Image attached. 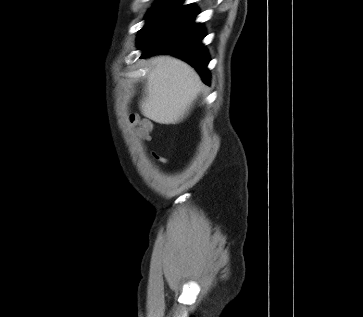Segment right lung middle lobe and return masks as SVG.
<instances>
[{"instance_id": "1", "label": "right lung middle lobe", "mask_w": 363, "mask_h": 317, "mask_svg": "<svg viewBox=\"0 0 363 317\" xmlns=\"http://www.w3.org/2000/svg\"><path fill=\"white\" fill-rule=\"evenodd\" d=\"M184 0H159L147 15V24L140 30L139 37L146 33L161 17L178 7Z\"/></svg>"}]
</instances>
